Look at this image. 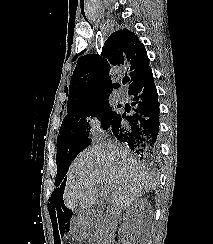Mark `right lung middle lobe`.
<instances>
[{
	"mask_svg": "<svg viewBox=\"0 0 213 244\" xmlns=\"http://www.w3.org/2000/svg\"><path fill=\"white\" fill-rule=\"evenodd\" d=\"M109 96L99 98L84 105L67 109V115L60 127L57 138L56 163L58 166L55 185L60 184L68 167L80 151L91 144L86 117H97L101 126L107 130L116 114L109 105ZM87 130V131H86Z\"/></svg>",
	"mask_w": 213,
	"mask_h": 244,
	"instance_id": "dd1d6c3e",
	"label": "right lung middle lobe"
}]
</instances>
